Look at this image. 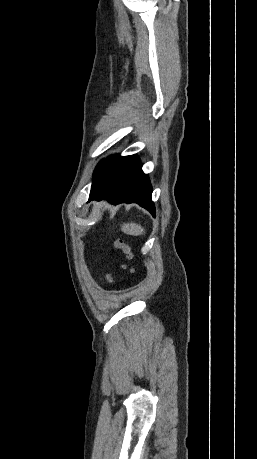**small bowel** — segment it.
Returning <instances> with one entry per match:
<instances>
[{
    "label": "small bowel",
    "instance_id": "small-bowel-1",
    "mask_svg": "<svg viewBox=\"0 0 257 459\" xmlns=\"http://www.w3.org/2000/svg\"><path fill=\"white\" fill-rule=\"evenodd\" d=\"M102 281H105V282H108V283H112L113 282V278L110 275H105L102 278Z\"/></svg>",
    "mask_w": 257,
    "mask_h": 459
}]
</instances>
